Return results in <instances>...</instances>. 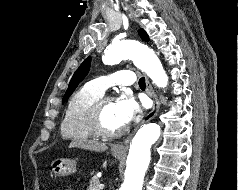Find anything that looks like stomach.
I'll list each match as a JSON object with an SVG mask.
<instances>
[{"mask_svg": "<svg viewBox=\"0 0 238 190\" xmlns=\"http://www.w3.org/2000/svg\"><path fill=\"white\" fill-rule=\"evenodd\" d=\"M112 155L119 159L123 156L122 152H116L112 149ZM52 173L55 176H67L75 172L76 165L75 162L70 159H56L51 163Z\"/></svg>", "mask_w": 238, "mask_h": 190, "instance_id": "1", "label": "stomach"}]
</instances>
